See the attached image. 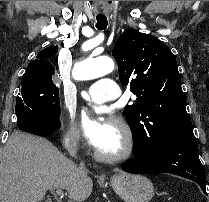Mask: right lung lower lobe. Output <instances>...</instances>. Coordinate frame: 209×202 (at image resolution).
<instances>
[{
    "label": "right lung lower lobe",
    "instance_id": "98d812e1",
    "mask_svg": "<svg viewBox=\"0 0 209 202\" xmlns=\"http://www.w3.org/2000/svg\"><path fill=\"white\" fill-rule=\"evenodd\" d=\"M59 117H46L36 113H25L17 116L19 129L39 135L49 136L60 128Z\"/></svg>",
    "mask_w": 209,
    "mask_h": 202
}]
</instances>
